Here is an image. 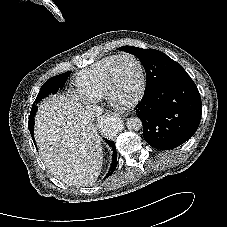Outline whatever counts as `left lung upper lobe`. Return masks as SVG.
<instances>
[{"label":"left lung upper lobe","instance_id":"5c2ea615","mask_svg":"<svg viewBox=\"0 0 227 227\" xmlns=\"http://www.w3.org/2000/svg\"><path fill=\"white\" fill-rule=\"evenodd\" d=\"M118 50L134 54L140 59L147 77L145 91L170 77L186 73L181 65L158 50L134 46H122Z\"/></svg>","mask_w":227,"mask_h":227}]
</instances>
